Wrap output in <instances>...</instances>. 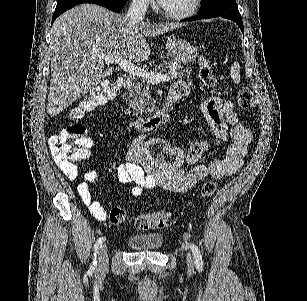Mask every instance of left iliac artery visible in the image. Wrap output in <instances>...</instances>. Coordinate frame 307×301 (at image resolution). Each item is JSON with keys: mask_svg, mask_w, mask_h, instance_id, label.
<instances>
[{"mask_svg": "<svg viewBox=\"0 0 307 301\" xmlns=\"http://www.w3.org/2000/svg\"><path fill=\"white\" fill-rule=\"evenodd\" d=\"M192 253L195 258V264L197 269H202L203 268V260H202V255L200 253L199 248L195 244L190 245Z\"/></svg>", "mask_w": 307, "mask_h": 301, "instance_id": "1", "label": "left iliac artery"}]
</instances>
